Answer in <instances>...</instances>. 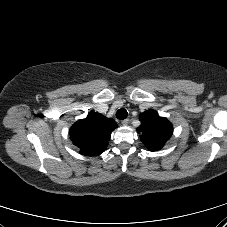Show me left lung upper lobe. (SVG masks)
Returning <instances> with one entry per match:
<instances>
[{
    "label": "left lung upper lobe",
    "mask_w": 227,
    "mask_h": 227,
    "mask_svg": "<svg viewBox=\"0 0 227 227\" xmlns=\"http://www.w3.org/2000/svg\"><path fill=\"white\" fill-rule=\"evenodd\" d=\"M141 125L137 132L141 141L150 151L161 149L172 136L173 126L165 117H160L155 110H147L140 114Z\"/></svg>",
    "instance_id": "left-lung-upper-lobe-1"
}]
</instances>
